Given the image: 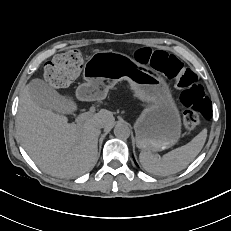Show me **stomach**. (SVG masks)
Masks as SVG:
<instances>
[{
  "label": "stomach",
  "mask_w": 231,
  "mask_h": 231,
  "mask_svg": "<svg viewBox=\"0 0 231 231\" xmlns=\"http://www.w3.org/2000/svg\"><path fill=\"white\" fill-rule=\"evenodd\" d=\"M86 83L81 99L100 100L121 80H128L134 97L146 103L135 122L136 144L143 151H161L181 137V118L165 79L157 72L114 51L95 52L83 65Z\"/></svg>",
  "instance_id": "obj_1"
}]
</instances>
